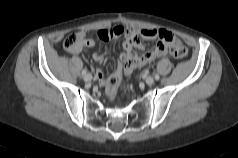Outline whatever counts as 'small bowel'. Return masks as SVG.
Masks as SVG:
<instances>
[{
	"label": "small bowel",
	"mask_w": 238,
	"mask_h": 158,
	"mask_svg": "<svg viewBox=\"0 0 238 158\" xmlns=\"http://www.w3.org/2000/svg\"><path fill=\"white\" fill-rule=\"evenodd\" d=\"M114 36L124 35V52L120 56V63L114 73L110 77H105L102 70L98 69L96 78L100 85L105 87L109 93L110 81L112 79L120 83L121 78L124 75L130 74L134 69L142 67L157 58H161L167 55L168 44L174 41V36L171 32L164 29H135V28H122L115 27L110 29ZM81 43L80 46L73 51V53L79 52L82 47H92L95 45V41L92 38L87 37V33L80 31L77 33ZM158 38L160 41L154 46L153 49L143 53L137 54L135 50L142 51L144 49L141 39H155ZM106 54V50H99L94 53L93 58L95 61L100 62L103 60ZM132 60V62H131Z\"/></svg>",
	"instance_id": "small-bowel-1"
}]
</instances>
